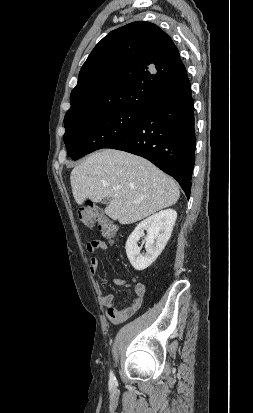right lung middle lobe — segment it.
<instances>
[{
  "mask_svg": "<svg viewBox=\"0 0 253 413\" xmlns=\"http://www.w3.org/2000/svg\"><path fill=\"white\" fill-rule=\"evenodd\" d=\"M143 116L142 110L115 109L93 114L65 124L63 140L73 160L106 148L133 130Z\"/></svg>",
  "mask_w": 253,
  "mask_h": 413,
  "instance_id": "obj_1",
  "label": "right lung middle lobe"
}]
</instances>
